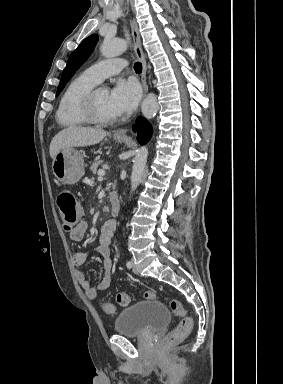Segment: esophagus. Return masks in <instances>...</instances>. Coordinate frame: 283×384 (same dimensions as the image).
<instances>
[{"label": "esophagus", "instance_id": "esophagus-1", "mask_svg": "<svg viewBox=\"0 0 283 384\" xmlns=\"http://www.w3.org/2000/svg\"><path fill=\"white\" fill-rule=\"evenodd\" d=\"M131 30H132V35H133L134 52H135L138 60L142 63L141 82H142V86H143V98H144L148 92V85H147V81H146V70H147L146 59H145L144 53L142 51L139 29H138V25H137L135 20H132V22H131ZM114 136L127 137V128L117 130L114 133Z\"/></svg>", "mask_w": 283, "mask_h": 384}]
</instances>
